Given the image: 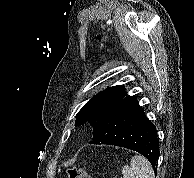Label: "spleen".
<instances>
[{
    "label": "spleen",
    "mask_w": 194,
    "mask_h": 178,
    "mask_svg": "<svg viewBox=\"0 0 194 178\" xmlns=\"http://www.w3.org/2000/svg\"><path fill=\"white\" fill-rule=\"evenodd\" d=\"M122 173L124 178H154L151 164L141 155L132 157L130 167L124 165Z\"/></svg>",
    "instance_id": "1"
}]
</instances>
